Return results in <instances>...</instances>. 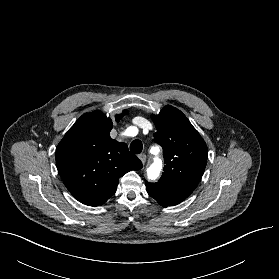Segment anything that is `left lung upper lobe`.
Returning <instances> with one entry per match:
<instances>
[{"mask_svg":"<svg viewBox=\"0 0 279 279\" xmlns=\"http://www.w3.org/2000/svg\"><path fill=\"white\" fill-rule=\"evenodd\" d=\"M154 140L164 150V173L157 183H148V194L162 206L176 205L197 187L207 164L206 143L185 115L165 106L153 118Z\"/></svg>","mask_w":279,"mask_h":279,"instance_id":"1","label":"left lung upper lobe"}]
</instances>
